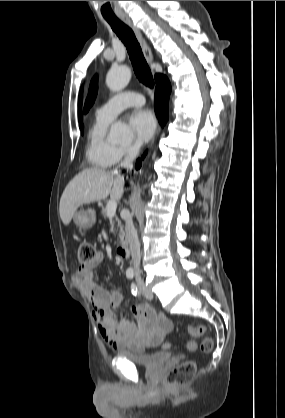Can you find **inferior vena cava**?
I'll list each match as a JSON object with an SVG mask.
<instances>
[{
    "mask_svg": "<svg viewBox=\"0 0 285 418\" xmlns=\"http://www.w3.org/2000/svg\"><path fill=\"white\" fill-rule=\"evenodd\" d=\"M138 154V148L136 146H133L128 150V153L124 159L123 162H121V167L132 169L133 168V160ZM125 232L127 241L130 246L131 251V257L132 262L135 270V274H140V260H141V254H140V243L137 235V231L134 227L132 217L128 215L125 219Z\"/></svg>",
    "mask_w": 285,
    "mask_h": 418,
    "instance_id": "1",
    "label": "inferior vena cava"
}]
</instances>
